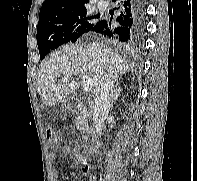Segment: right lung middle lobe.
Masks as SVG:
<instances>
[{
	"instance_id": "1",
	"label": "right lung middle lobe",
	"mask_w": 197,
	"mask_h": 181,
	"mask_svg": "<svg viewBox=\"0 0 197 181\" xmlns=\"http://www.w3.org/2000/svg\"><path fill=\"white\" fill-rule=\"evenodd\" d=\"M96 18L97 16H91L87 8L84 7L39 20L37 44L40 59H43L58 46L75 42L82 34L91 31L97 23Z\"/></svg>"
}]
</instances>
